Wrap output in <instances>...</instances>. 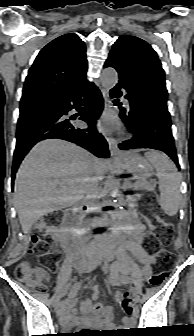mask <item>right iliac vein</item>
Masks as SVG:
<instances>
[{
	"instance_id": "1",
	"label": "right iliac vein",
	"mask_w": 194,
	"mask_h": 336,
	"mask_svg": "<svg viewBox=\"0 0 194 336\" xmlns=\"http://www.w3.org/2000/svg\"><path fill=\"white\" fill-rule=\"evenodd\" d=\"M56 309H57V313L59 314V312H60V310H59V306H57V308H56Z\"/></svg>"
}]
</instances>
